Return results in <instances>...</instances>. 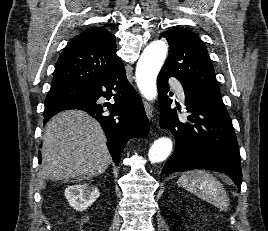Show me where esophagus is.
Masks as SVG:
<instances>
[{
  "mask_svg": "<svg viewBox=\"0 0 268 231\" xmlns=\"http://www.w3.org/2000/svg\"><path fill=\"white\" fill-rule=\"evenodd\" d=\"M143 103H144L146 115L148 119H151L153 117V105L149 103L148 101H143Z\"/></svg>",
  "mask_w": 268,
  "mask_h": 231,
  "instance_id": "esophagus-1",
  "label": "esophagus"
}]
</instances>
